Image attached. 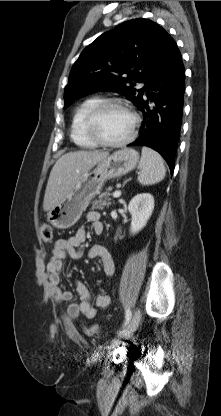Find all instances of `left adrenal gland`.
Listing matches in <instances>:
<instances>
[{
  "mask_svg": "<svg viewBox=\"0 0 221 416\" xmlns=\"http://www.w3.org/2000/svg\"><path fill=\"white\" fill-rule=\"evenodd\" d=\"M129 180H130V179L126 180V181L124 182V184H125V183H127V181H129ZM124 184H123V185H124Z\"/></svg>",
  "mask_w": 221,
  "mask_h": 416,
  "instance_id": "a2214340",
  "label": "left adrenal gland"
}]
</instances>
